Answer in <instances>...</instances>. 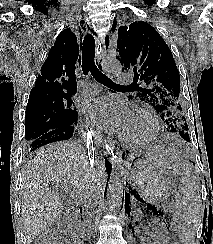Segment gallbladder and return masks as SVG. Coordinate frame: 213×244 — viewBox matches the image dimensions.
<instances>
[{
	"label": "gallbladder",
	"mask_w": 213,
	"mask_h": 244,
	"mask_svg": "<svg viewBox=\"0 0 213 244\" xmlns=\"http://www.w3.org/2000/svg\"><path fill=\"white\" fill-rule=\"evenodd\" d=\"M55 223H56L57 225H65V224L68 223V217H66V216H60V217L55 221Z\"/></svg>",
	"instance_id": "obj_1"
}]
</instances>
